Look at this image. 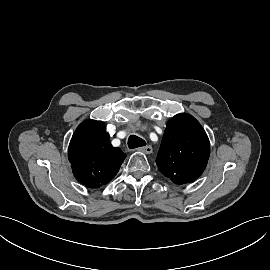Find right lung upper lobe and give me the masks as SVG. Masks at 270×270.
Wrapping results in <instances>:
<instances>
[{
  "instance_id": "obj_1",
  "label": "right lung upper lobe",
  "mask_w": 270,
  "mask_h": 270,
  "mask_svg": "<svg viewBox=\"0 0 270 270\" xmlns=\"http://www.w3.org/2000/svg\"><path fill=\"white\" fill-rule=\"evenodd\" d=\"M126 154L113 147L104 122L86 120L73 134L68 158L75 178L89 188L110 182L120 169Z\"/></svg>"
}]
</instances>
